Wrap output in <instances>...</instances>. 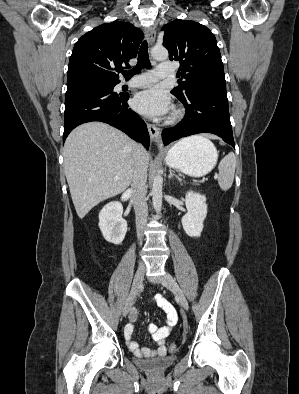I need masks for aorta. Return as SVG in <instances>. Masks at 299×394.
<instances>
[{"label":"aorta","instance_id":"1","mask_svg":"<svg viewBox=\"0 0 299 394\" xmlns=\"http://www.w3.org/2000/svg\"><path fill=\"white\" fill-rule=\"evenodd\" d=\"M153 59L163 61L168 58V51L164 47H154L151 51ZM162 187L163 178L158 171L153 178L152 184V202L156 213H160L162 207Z\"/></svg>","mask_w":299,"mask_h":394}]
</instances>
